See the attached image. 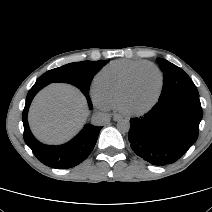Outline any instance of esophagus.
<instances>
[{"label":"esophagus","mask_w":212,"mask_h":212,"mask_svg":"<svg viewBox=\"0 0 212 212\" xmlns=\"http://www.w3.org/2000/svg\"><path fill=\"white\" fill-rule=\"evenodd\" d=\"M122 118H123V117H122L121 115H119V114H114V115H113V120H114V121H120Z\"/></svg>","instance_id":"34e87169"}]
</instances>
